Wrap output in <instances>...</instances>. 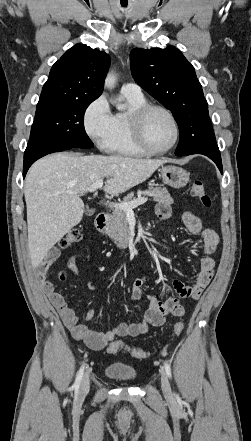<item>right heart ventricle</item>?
Instances as JSON below:
<instances>
[{"label": "right heart ventricle", "instance_id": "right-heart-ventricle-1", "mask_svg": "<svg viewBox=\"0 0 251 441\" xmlns=\"http://www.w3.org/2000/svg\"><path fill=\"white\" fill-rule=\"evenodd\" d=\"M122 95L128 104V109L113 115V131L106 150L123 156H144L147 153L137 145L133 138L130 118L136 109L147 104L146 99L143 94L122 93Z\"/></svg>", "mask_w": 251, "mask_h": 441}]
</instances>
